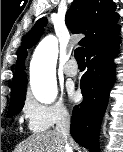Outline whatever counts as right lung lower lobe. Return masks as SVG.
<instances>
[{"label": "right lung lower lobe", "instance_id": "right-lung-lower-lobe-1", "mask_svg": "<svg viewBox=\"0 0 123 152\" xmlns=\"http://www.w3.org/2000/svg\"><path fill=\"white\" fill-rule=\"evenodd\" d=\"M119 39L116 34L86 55L87 71L80 83L83 101L73 109L71 135L92 152L99 151L97 141L109 92L115 81L113 59L118 53Z\"/></svg>", "mask_w": 123, "mask_h": 152}]
</instances>
